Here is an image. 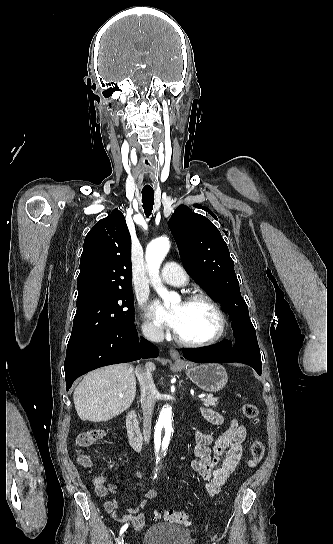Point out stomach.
Segmentation results:
<instances>
[{
	"label": "stomach",
	"mask_w": 333,
	"mask_h": 544,
	"mask_svg": "<svg viewBox=\"0 0 333 544\" xmlns=\"http://www.w3.org/2000/svg\"><path fill=\"white\" fill-rule=\"evenodd\" d=\"M188 378L199 388L208 392H218L227 383L228 376L225 368L218 363L200 365H184Z\"/></svg>",
	"instance_id": "stomach-1"
}]
</instances>
